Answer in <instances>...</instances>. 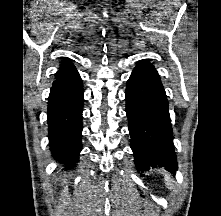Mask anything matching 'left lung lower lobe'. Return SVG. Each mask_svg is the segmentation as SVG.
Instances as JSON below:
<instances>
[{
	"label": "left lung lower lobe",
	"instance_id": "1",
	"mask_svg": "<svg viewBox=\"0 0 221 216\" xmlns=\"http://www.w3.org/2000/svg\"><path fill=\"white\" fill-rule=\"evenodd\" d=\"M126 113L131 149L139 171L164 166L177 170L169 106L154 66L140 60L127 82Z\"/></svg>",
	"mask_w": 221,
	"mask_h": 216
}]
</instances>
